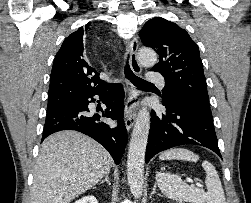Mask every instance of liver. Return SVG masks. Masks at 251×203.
Segmentation results:
<instances>
[{"label":"liver","mask_w":251,"mask_h":203,"mask_svg":"<svg viewBox=\"0 0 251 203\" xmlns=\"http://www.w3.org/2000/svg\"><path fill=\"white\" fill-rule=\"evenodd\" d=\"M113 164L107 150L76 131H60L41 145L31 203H70L96 185Z\"/></svg>","instance_id":"1"}]
</instances>
